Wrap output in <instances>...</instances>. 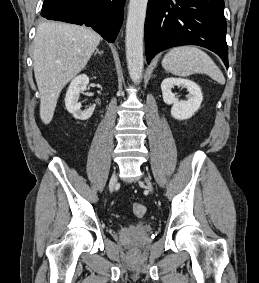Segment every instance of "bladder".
<instances>
[{"label":"bladder","mask_w":259,"mask_h":283,"mask_svg":"<svg viewBox=\"0 0 259 283\" xmlns=\"http://www.w3.org/2000/svg\"><path fill=\"white\" fill-rule=\"evenodd\" d=\"M142 221H138L137 223H141Z\"/></svg>","instance_id":"1"}]
</instances>
